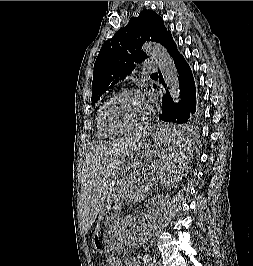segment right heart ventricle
<instances>
[{"label":"right heart ventricle","mask_w":253,"mask_h":266,"mask_svg":"<svg viewBox=\"0 0 253 266\" xmlns=\"http://www.w3.org/2000/svg\"><path fill=\"white\" fill-rule=\"evenodd\" d=\"M106 102H104L101 107L99 108L98 112H97V116H96V134H97V137L100 138V139H107V138H111L113 136H116V135H112L108 132H106L102 125H101V119H100V116H101V111H102V108L104 106Z\"/></svg>","instance_id":"obj_1"}]
</instances>
